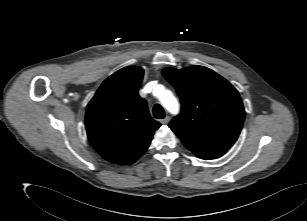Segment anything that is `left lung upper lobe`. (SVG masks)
Wrapping results in <instances>:
<instances>
[{"label":"left lung upper lobe","instance_id":"obj_1","mask_svg":"<svg viewBox=\"0 0 307 221\" xmlns=\"http://www.w3.org/2000/svg\"><path fill=\"white\" fill-rule=\"evenodd\" d=\"M164 77L181 99V113L169 124L181 141L228 150L236 142L245 118L237 90L203 66L165 68Z\"/></svg>","mask_w":307,"mask_h":221}]
</instances>
